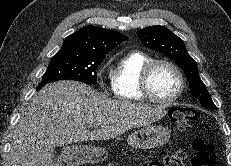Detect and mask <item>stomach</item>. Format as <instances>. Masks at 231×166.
Listing matches in <instances>:
<instances>
[{
	"label": "stomach",
	"mask_w": 231,
	"mask_h": 166,
	"mask_svg": "<svg viewBox=\"0 0 231 166\" xmlns=\"http://www.w3.org/2000/svg\"><path fill=\"white\" fill-rule=\"evenodd\" d=\"M170 130L162 125H150L134 131L128 136V144L135 149H152L168 142ZM63 160L72 165L98 163L106 159L107 151L98 146L78 145L63 149Z\"/></svg>",
	"instance_id": "obj_1"
}]
</instances>
